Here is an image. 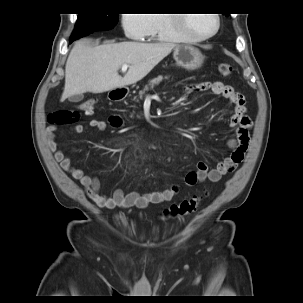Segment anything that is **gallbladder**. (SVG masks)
<instances>
[{
	"label": "gallbladder",
	"instance_id": "gallbladder-1",
	"mask_svg": "<svg viewBox=\"0 0 303 303\" xmlns=\"http://www.w3.org/2000/svg\"><path fill=\"white\" fill-rule=\"evenodd\" d=\"M82 98H83L82 95H73V96H71L69 98V101H71V102H79V101L82 100Z\"/></svg>",
	"mask_w": 303,
	"mask_h": 303
}]
</instances>
